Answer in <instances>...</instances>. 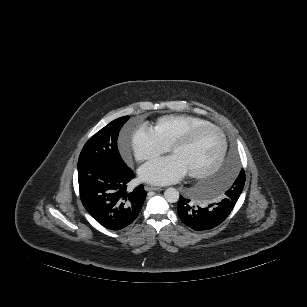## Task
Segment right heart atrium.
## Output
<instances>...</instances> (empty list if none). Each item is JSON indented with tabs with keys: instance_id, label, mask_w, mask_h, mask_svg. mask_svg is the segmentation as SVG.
I'll list each match as a JSON object with an SVG mask.
<instances>
[{
	"instance_id": "right-heart-atrium-1",
	"label": "right heart atrium",
	"mask_w": 307,
	"mask_h": 307,
	"mask_svg": "<svg viewBox=\"0 0 307 307\" xmlns=\"http://www.w3.org/2000/svg\"><path fill=\"white\" fill-rule=\"evenodd\" d=\"M119 147L124 156L130 150L139 162L155 159L168 150V146L161 142L155 132L145 126L132 130L120 141Z\"/></svg>"
}]
</instances>
